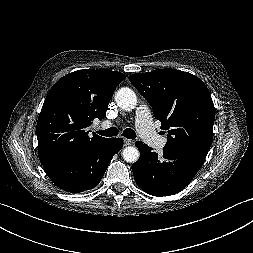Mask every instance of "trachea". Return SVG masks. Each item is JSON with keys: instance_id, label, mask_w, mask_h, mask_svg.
I'll use <instances>...</instances> for the list:
<instances>
[{"instance_id": "1", "label": "trachea", "mask_w": 253, "mask_h": 253, "mask_svg": "<svg viewBox=\"0 0 253 253\" xmlns=\"http://www.w3.org/2000/svg\"><path fill=\"white\" fill-rule=\"evenodd\" d=\"M97 133L101 136L112 137L118 135V129L116 127H111L106 130L97 131ZM123 136L128 139H135L137 137L135 131L131 128L125 129L123 131Z\"/></svg>"}]
</instances>
